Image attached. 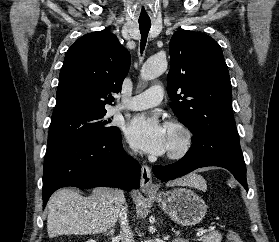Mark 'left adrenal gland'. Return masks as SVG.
I'll use <instances>...</instances> for the list:
<instances>
[{"label":"left adrenal gland","mask_w":279,"mask_h":242,"mask_svg":"<svg viewBox=\"0 0 279 242\" xmlns=\"http://www.w3.org/2000/svg\"><path fill=\"white\" fill-rule=\"evenodd\" d=\"M173 242H187V240H185L183 238H175V240Z\"/></svg>","instance_id":"left-adrenal-gland-1"}]
</instances>
